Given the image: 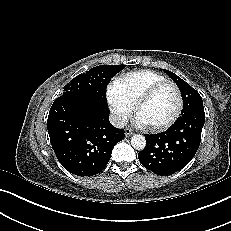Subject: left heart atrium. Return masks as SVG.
Masks as SVG:
<instances>
[{"mask_svg":"<svg viewBox=\"0 0 231 231\" xmlns=\"http://www.w3.org/2000/svg\"><path fill=\"white\" fill-rule=\"evenodd\" d=\"M134 122L136 126L140 129H144L148 125V120L144 116H137Z\"/></svg>","mask_w":231,"mask_h":231,"instance_id":"1","label":"left heart atrium"}]
</instances>
